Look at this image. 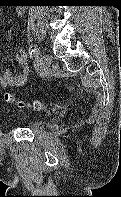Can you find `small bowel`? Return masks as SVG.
I'll return each instance as SVG.
<instances>
[{
    "mask_svg": "<svg viewBox=\"0 0 121 197\" xmlns=\"http://www.w3.org/2000/svg\"><path fill=\"white\" fill-rule=\"evenodd\" d=\"M18 13H22V9H18ZM16 62L19 67V73L12 75L10 70H7L3 75H0V87H20L27 83L30 76V68L27 57L21 48L16 50Z\"/></svg>",
    "mask_w": 121,
    "mask_h": 197,
    "instance_id": "1",
    "label": "small bowel"
}]
</instances>
